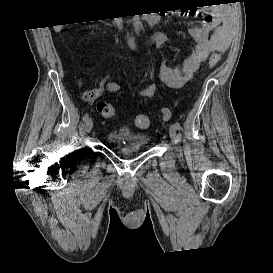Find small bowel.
Returning <instances> with one entry per match:
<instances>
[{
  "mask_svg": "<svg viewBox=\"0 0 273 273\" xmlns=\"http://www.w3.org/2000/svg\"><path fill=\"white\" fill-rule=\"evenodd\" d=\"M193 17H200V25L189 29L190 36L195 41L193 50L180 62L173 66L161 67L159 80L171 88H180L193 76L200 64L206 61L213 52L225 51L231 41L233 30L232 19L223 7L209 8L204 11L192 12ZM169 41L167 34H159L152 38L151 43L163 46ZM106 88L111 93L121 90L115 82H108ZM156 85H151L139 92L141 97H151Z\"/></svg>",
  "mask_w": 273,
  "mask_h": 273,
  "instance_id": "c3829d8e",
  "label": "small bowel"
}]
</instances>
